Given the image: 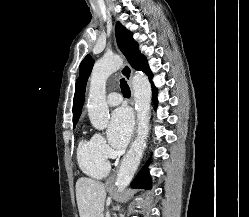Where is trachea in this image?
Returning <instances> with one entry per match:
<instances>
[{"mask_svg": "<svg viewBox=\"0 0 249 217\" xmlns=\"http://www.w3.org/2000/svg\"><path fill=\"white\" fill-rule=\"evenodd\" d=\"M120 88H121V92H122L124 97H130L131 92H130L129 86H128L127 82L124 80V78H122L120 80Z\"/></svg>", "mask_w": 249, "mask_h": 217, "instance_id": "trachea-1", "label": "trachea"}]
</instances>
